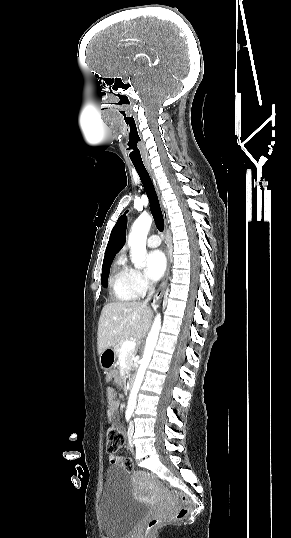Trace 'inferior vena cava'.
Segmentation results:
<instances>
[{
	"mask_svg": "<svg viewBox=\"0 0 291 538\" xmlns=\"http://www.w3.org/2000/svg\"><path fill=\"white\" fill-rule=\"evenodd\" d=\"M154 291H155L154 287H150V288H149L148 296H147V298L145 299V301L143 302L144 305H147V303L150 301V299H151V297H152Z\"/></svg>",
	"mask_w": 291,
	"mask_h": 538,
	"instance_id": "1",
	"label": "inferior vena cava"
}]
</instances>
